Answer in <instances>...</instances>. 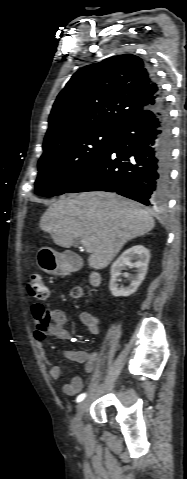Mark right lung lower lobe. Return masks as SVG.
<instances>
[{
	"label": "right lung lower lobe",
	"instance_id": "1",
	"mask_svg": "<svg viewBox=\"0 0 187 479\" xmlns=\"http://www.w3.org/2000/svg\"><path fill=\"white\" fill-rule=\"evenodd\" d=\"M159 92L161 98L157 103L131 117L120 128L109 149L65 193L108 191L145 205L165 202L170 181L172 134L160 88Z\"/></svg>",
	"mask_w": 187,
	"mask_h": 479
}]
</instances>
